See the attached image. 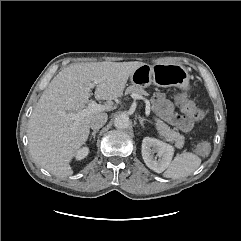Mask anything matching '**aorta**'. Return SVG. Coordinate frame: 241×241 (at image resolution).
<instances>
[{"label":"aorta","instance_id":"obj_1","mask_svg":"<svg viewBox=\"0 0 241 241\" xmlns=\"http://www.w3.org/2000/svg\"><path fill=\"white\" fill-rule=\"evenodd\" d=\"M114 126L117 129H126L130 126V120L127 115H119L114 120Z\"/></svg>","mask_w":241,"mask_h":241}]
</instances>
